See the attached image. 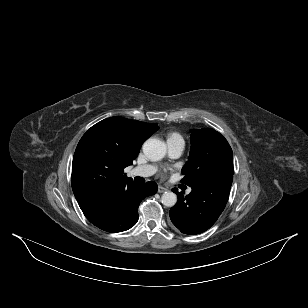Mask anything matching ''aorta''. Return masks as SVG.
Returning <instances> with one entry per match:
<instances>
[{
	"label": "aorta",
	"mask_w": 308,
	"mask_h": 308,
	"mask_svg": "<svg viewBox=\"0 0 308 308\" xmlns=\"http://www.w3.org/2000/svg\"><path fill=\"white\" fill-rule=\"evenodd\" d=\"M144 155L151 161H159L166 154L165 144L154 138L146 140L142 146ZM162 204L173 207L177 202V195L173 192H165L161 197Z\"/></svg>",
	"instance_id": "762f6f07"
}]
</instances>
